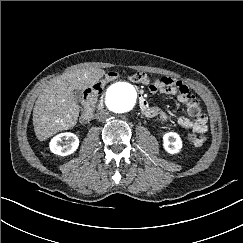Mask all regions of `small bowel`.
I'll use <instances>...</instances> for the list:
<instances>
[{
    "instance_id": "obj_1",
    "label": "small bowel",
    "mask_w": 243,
    "mask_h": 243,
    "mask_svg": "<svg viewBox=\"0 0 243 243\" xmlns=\"http://www.w3.org/2000/svg\"><path fill=\"white\" fill-rule=\"evenodd\" d=\"M149 89L153 93L177 95L179 102L186 105L187 112L191 117L178 116L176 118L177 123L181 127L190 129L197 133L200 140L196 146L203 145L205 142L204 134L208 130V118L202 112L197 99L187 85L170 77H161L155 84L149 85ZM143 113L150 118L157 117L160 120H165L167 118L166 113L157 107H150L149 111Z\"/></svg>"
}]
</instances>
